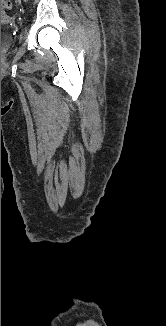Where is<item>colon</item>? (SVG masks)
<instances>
[{
    "mask_svg": "<svg viewBox=\"0 0 166 326\" xmlns=\"http://www.w3.org/2000/svg\"><path fill=\"white\" fill-rule=\"evenodd\" d=\"M12 3L10 0H1V8H11Z\"/></svg>",
    "mask_w": 166,
    "mask_h": 326,
    "instance_id": "colon-1",
    "label": "colon"
}]
</instances>
